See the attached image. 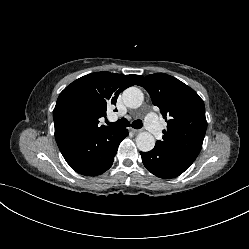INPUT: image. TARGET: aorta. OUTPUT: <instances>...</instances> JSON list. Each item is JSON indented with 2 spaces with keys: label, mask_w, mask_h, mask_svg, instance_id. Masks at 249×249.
<instances>
[{
  "label": "aorta",
  "mask_w": 249,
  "mask_h": 249,
  "mask_svg": "<svg viewBox=\"0 0 249 249\" xmlns=\"http://www.w3.org/2000/svg\"><path fill=\"white\" fill-rule=\"evenodd\" d=\"M144 99L142 91L137 87H129L123 92V101L129 108H138ZM136 145L142 152L151 151L155 146V139L149 132H141L136 137Z\"/></svg>",
  "instance_id": "762f6f07"
}]
</instances>
